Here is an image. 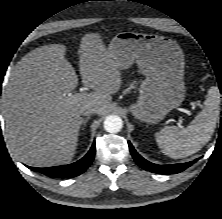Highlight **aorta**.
Returning <instances> with one entry per match:
<instances>
[{"label":"aorta","mask_w":222,"mask_h":219,"mask_svg":"<svg viewBox=\"0 0 222 219\" xmlns=\"http://www.w3.org/2000/svg\"><path fill=\"white\" fill-rule=\"evenodd\" d=\"M123 126L122 119L117 115H109L104 120V129L109 133H118Z\"/></svg>","instance_id":"aorta-1"}]
</instances>
